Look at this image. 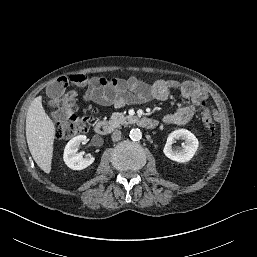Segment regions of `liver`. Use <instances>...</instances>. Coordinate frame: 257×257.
<instances>
[{"instance_id":"obj_1","label":"liver","mask_w":257,"mask_h":257,"mask_svg":"<svg viewBox=\"0 0 257 257\" xmlns=\"http://www.w3.org/2000/svg\"><path fill=\"white\" fill-rule=\"evenodd\" d=\"M26 138L29 151L36 164L50 173L55 139V124L45 112L42 97L30 104L26 117Z\"/></svg>"}]
</instances>
